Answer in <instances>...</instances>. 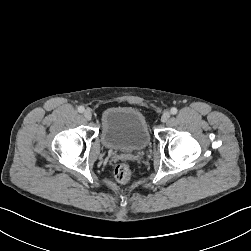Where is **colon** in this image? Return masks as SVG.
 <instances>
[{"mask_svg": "<svg viewBox=\"0 0 251 251\" xmlns=\"http://www.w3.org/2000/svg\"><path fill=\"white\" fill-rule=\"evenodd\" d=\"M114 174L118 182L126 183L131 179L133 173L129 165L120 163L116 166Z\"/></svg>", "mask_w": 251, "mask_h": 251, "instance_id": "1", "label": "colon"}]
</instances>
